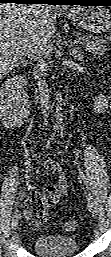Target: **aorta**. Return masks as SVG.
I'll list each match as a JSON object with an SVG mask.
<instances>
[{"instance_id":"762f6f07","label":"aorta","mask_w":111,"mask_h":257,"mask_svg":"<svg viewBox=\"0 0 111 257\" xmlns=\"http://www.w3.org/2000/svg\"><path fill=\"white\" fill-rule=\"evenodd\" d=\"M61 110H62V97H61V95H59L57 98V106H56V111H57L58 116H60Z\"/></svg>"}]
</instances>
